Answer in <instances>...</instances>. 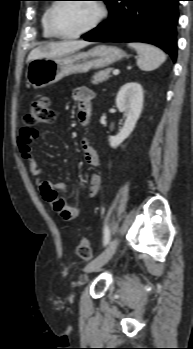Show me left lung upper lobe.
Listing matches in <instances>:
<instances>
[{"mask_svg":"<svg viewBox=\"0 0 193 349\" xmlns=\"http://www.w3.org/2000/svg\"><path fill=\"white\" fill-rule=\"evenodd\" d=\"M102 1H105L106 3L109 1V0H102ZM89 33V32H88ZM87 34V33H86Z\"/></svg>","mask_w":193,"mask_h":349,"instance_id":"left-lung-upper-lobe-1","label":"left lung upper lobe"}]
</instances>
